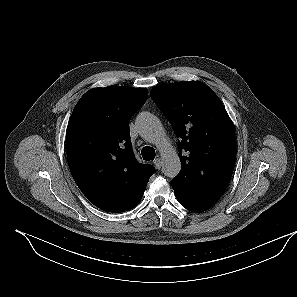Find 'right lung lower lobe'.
<instances>
[{
	"label": "right lung lower lobe",
	"mask_w": 297,
	"mask_h": 297,
	"mask_svg": "<svg viewBox=\"0 0 297 297\" xmlns=\"http://www.w3.org/2000/svg\"><path fill=\"white\" fill-rule=\"evenodd\" d=\"M141 198H142V197H141ZM141 198L137 201V203H136L135 205H137V204L140 202Z\"/></svg>",
	"instance_id": "98d812e1"
}]
</instances>
